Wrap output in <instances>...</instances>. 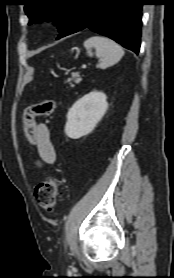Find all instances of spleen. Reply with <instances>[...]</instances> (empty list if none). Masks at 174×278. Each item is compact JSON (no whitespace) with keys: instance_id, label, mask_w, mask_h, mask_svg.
Listing matches in <instances>:
<instances>
[{"instance_id":"spleen-1","label":"spleen","mask_w":174,"mask_h":278,"mask_svg":"<svg viewBox=\"0 0 174 278\" xmlns=\"http://www.w3.org/2000/svg\"><path fill=\"white\" fill-rule=\"evenodd\" d=\"M87 55L92 57L94 54L102 61L97 65L98 68L105 69L116 64L124 55L123 48L112 39L103 36H93L84 42ZM92 49L95 52H92Z\"/></svg>"}]
</instances>
